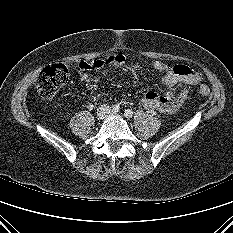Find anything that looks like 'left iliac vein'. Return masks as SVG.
<instances>
[{"mask_svg":"<svg viewBox=\"0 0 233 233\" xmlns=\"http://www.w3.org/2000/svg\"><path fill=\"white\" fill-rule=\"evenodd\" d=\"M110 115H111V116H119V114H118V113H115V112H111Z\"/></svg>","mask_w":233,"mask_h":233,"instance_id":"4c4485c4","label":"left iliac vein"}]
</instances>
